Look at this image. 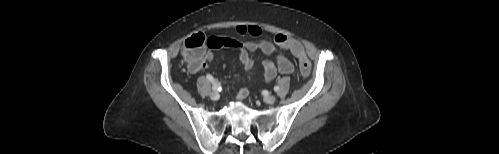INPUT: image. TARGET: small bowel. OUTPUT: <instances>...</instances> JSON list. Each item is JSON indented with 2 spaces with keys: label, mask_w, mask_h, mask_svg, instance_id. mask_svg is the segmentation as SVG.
Wrapping results in <instances>:
<instances>
[{
  "label": "small bowel",
  "mask_w": 499,
  "mask_h": 154,
  "mask_svg": "<svg viewBox=\"0 0 499 154\" xmlns=\"http://www.w3.org/2000/svg\"><path fill=\"white\" fill-rule=\"evenodd\" d=\"M236 31L240 35H251L259 36L261 30L259 27L251 25H240L236 28ZM219 48L231 49L238 53L241 64L245 70H250L253 67V60L250 58L249 53L260 51L266 56H272L275 58V62L271 60H266L263 63L265 74L264 82L269 83L274 79L276 74L279 72L281 74H290L294 71V66L288 56L284 51L279 49L275 44L268 40L259 41H240L234 38L227 37H210L208 39V51L204 61L198 67H189L192 73L198 72L200 69L206 67L212 60L214 56V50ZM248 95L246 88H240L237 92V99H245Z\"/></svg>",
  "instance_id": "small-bowel-1"
}]
</instances>
